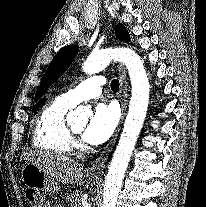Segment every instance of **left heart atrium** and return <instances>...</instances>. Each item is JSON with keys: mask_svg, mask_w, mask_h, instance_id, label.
<instances>
[{"mask_svg": "<svg viewBox=\"0 0 206 207\" xmlns=\"http://www.w3.org/2000/svg\"><path fill=\"white\" fill-rule=\"evenodd\" d=\"M118 120L119 111L115 104H98L84 132V139L93 145L105 142L114 132Z\"/></svg>", "mask_w": 206, "mask_h": 207, "instance_id": "left-heart-atrium-1", "label": "left heart atrium"}]
</instances>
